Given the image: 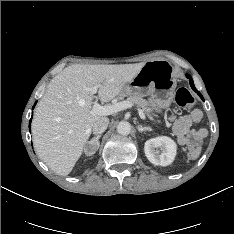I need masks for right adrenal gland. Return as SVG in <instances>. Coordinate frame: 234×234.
<instances>
[{"label": "right adrenal gland", "instance_id": "obj_1", "mask_svg": "<svg viewBox=\"0 0 234 234\" xmlns=\"http://www.w3.org/2000/svg\"><path fill=\"white\" fill-rule=\"evenodd\" d=\"M100 137H101V135H97L96 137H93L90 141H88L86 144L95 143L97 145V149H98L100 146V143H99Z\"/></svg>", "mask_w": 234, "mask_h": 234}]
</instances>
